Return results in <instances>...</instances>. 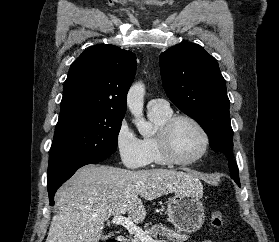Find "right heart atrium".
Here are the masks:
<instances>
[{
	"label": "right heart atrium",
	"mask_w": 279,
	"mask_h": 242,
	"mask_svg": "<svg viewBox=\"0 0 279 242\" xmlns=\"http://www.w3.org/2000/svg\"><path fill=\"white\" fill-rule=\"evenodd\" d=\"M115 146L122 164L127 168L139 169L149 163L142 140L125 119L117 127Z\"/></svg>",
	"instance_id": "right-heart-atrium-1"
}]
</instances>
